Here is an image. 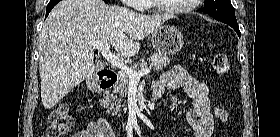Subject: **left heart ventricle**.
I'll return each instance as SVG.
<instances>
[{
  "label": "left heart ventricle",
  "mask_w": 280,
  "mask_h": 137,
  "mask_svg": "<svg viewBox=\"0 0 280 137\" xmlns=\"http://www.w3.org/2000/svg\"><path fill=\"white\" fill-rule=\"evenodd\" d=\"M165 6L169 8H178L185 6L189 3V0H160Z\"/></svg>",
  "instance_id": "1"
}]
</instances>
